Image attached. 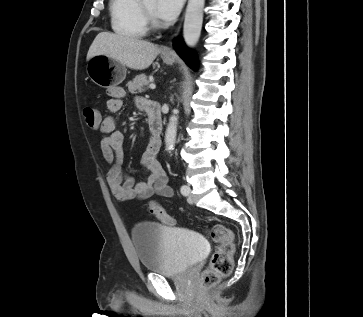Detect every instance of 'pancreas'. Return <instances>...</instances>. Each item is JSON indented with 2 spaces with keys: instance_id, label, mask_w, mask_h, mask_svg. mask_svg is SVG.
<instances>
[{
  "instance_id": "obj_1",
  "label": "pancreas",
  "mask_w": 363,
  "mask_h": 317,
  "mask_svg": "<svg viewBox=\"0 0 363 317\" xmlns=\"http://www.w3.org/2000/svg\"><path fill=\"white\" fill-rule=\"evenodd\" d=\"M148 84L147 76L145 74H139L132 81H129L127 86L130 93L136 94L137 92L144 91Z\"/></svg>"
}]
</instances>
